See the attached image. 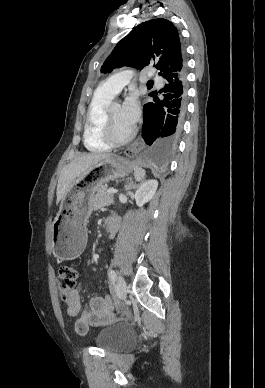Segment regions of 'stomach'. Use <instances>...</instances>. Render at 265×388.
<instances>
[{"label": "stomach", "instance_id": "1", "mask_svg": "<svg viewBox=\"0 0 265 388\" xmlns=\"http://www.w3.org/2000/svg\"><path fill=\"white\" fill-rule=\"evenodd\" d=\"M132 169L124 157L111 155L89 167L72 183L52 224V248L61 260L77 258L86 245V221L99 185L125 177Z\"/></svg>", "mask_w": 265, "mask_h": 388}]
</instances>
